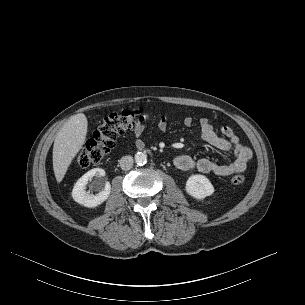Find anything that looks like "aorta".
<instances>
[{"mask_svg":"<svg viewBox=\"0 0 305 305\" xmlns=\"http://www.w3.org/2000/svg\"><path fill=\"white\" fill-rule=\"evenodd\" d=\"M135 163L139 166H143L147 163V155L144 152H138L134 156Z\"/></svg>","mask_w":305,"mask_h":305,"instance_id":"aorta-1","label":"aorta"}]
</instances>
